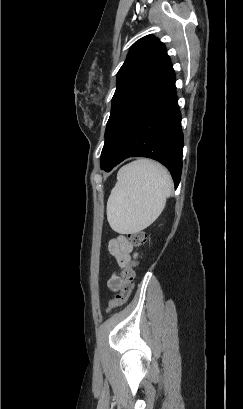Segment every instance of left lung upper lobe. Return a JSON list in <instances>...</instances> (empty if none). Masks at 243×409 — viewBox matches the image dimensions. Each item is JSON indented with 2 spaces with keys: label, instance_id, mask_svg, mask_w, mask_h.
I'll list each match as a JSON object with an SVG mask.
<instances>
[{
  "label": "left lung upper lobe",
  "instance_id": "1",
  "mask_svg": "<svg viewBox=\"0 0 243 409\" xmlns=\"http://www.w3.org/2000/svg\"><path fill=\"white\" fill-rule=\"evenodd\" d=\"M166 48L159 39L147 35L131 47L127 59L117 73V88L112 98V107L105 131V143L100 164L113 161L117 152L116 127L155 73L169 60Z\"/></svg>",
  "mask_w": 243,
  "mask_h": 409
}]
</instances>
